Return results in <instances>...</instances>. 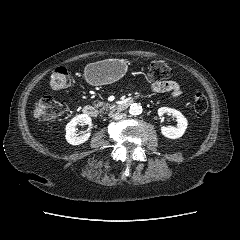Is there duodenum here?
Wrapping results in <instances>:
<instances>
[{"label": "duodenum", "mask_w": 240, "mask_h": 240, "mask_svg": "<svg viewBox=\"0 0 240 240\" xmlns=\"http://www.w3.org/2000/svg\"><path fill=\"white\" fill-rule=\"evenodd\" d=\"M133 103H134V100L132 99L117 102L110 107V111L113 113L121 112L127 109ZM82 112L84 115L89 117H95L97 115V111L95 110V108L90 105H85L82 109Z\"/></svg>", "instance_id": "obj_1"}]
</instances>
